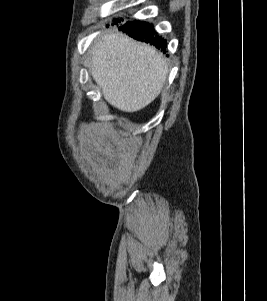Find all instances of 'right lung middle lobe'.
Listing matches in <instances>:
<instances>
[{"label": "right lung middle lobe", "instance_id": "right-lung-middle-lobe-1", "mask_svg": "<svg viewBox=\"0 0 267 301\" xmlns=\"http://www.w3.org/2000/svg\"><path fill=\"white\" fill-rule=\"evenodd\" d=\"M115 22L117 23V22H119V20L116 19Z\"/></svg>", "mask_w": 267, "mask_h": 301}]
</instances>
